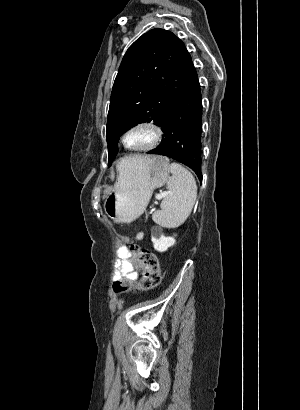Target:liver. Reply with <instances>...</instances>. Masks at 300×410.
Listing matches in <instances>:
<instances>
[{
    "label": "liver",
    "mask_w": 300,
    "mask_h": 410,
    "mask_svg": "<svg viewBox=\"0 0 300 410\" xmlns=\"http://www.w3.org/2000/svg\"><path fill=\"white\" fill-rule=\"evenodd\" d=\"M146 159H147V156L133 155V156L127 157L125 162L128 167H132Z\"/></svg>",
    "instance_id": "obj_1"
}]
</instances>
